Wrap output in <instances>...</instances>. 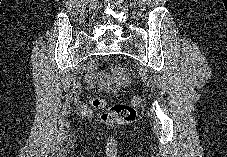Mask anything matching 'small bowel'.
Here are the masks:
<instances>
[{
	"label": "small bowel",
	"instance_id": "1",
	"mask_svg": "<svg viewBox=\"0 0 227 157\" xmlns=\"http://www.w3.org/2000/svg\"><path fill=\"white\" fill-rule=\"evenodd\" d=\"M121 79L118 75H113L112 77L104 78L101 80L100 84L102 86H112L117 87L120 84Z\"/></svg>",
	"mask_w": 227,
	"mask_h": 157
}]
</instances>
